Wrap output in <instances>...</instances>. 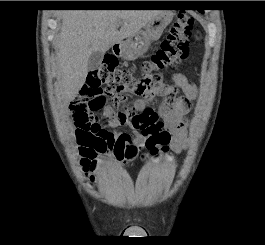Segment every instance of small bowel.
Segmentation results:
<instances>
[{
    "mask_svg": "<svg viewBox=\"0 0 265 245\" xmlns=\"http://www.w3.org/2000/svg\"><path fill=\"white\" fill-rule=\"evenodd\" d=\"M159 83L162 86L161 95L163 97V102L158 111L151 110L165 123V125L171 131L172 138L169 144L170 149L172 152L179 154L190 144L187 137L185 121L186 115L190 108L189 100L195 97L196 87L182 74L173 75L172 86L164 85L160 81ZM178 89L182 91V97L174 96L176 90ZM74 105L77 107V109L86 108L88 112L92 111V105H96L98 106V109H102L104 115L107 117V120L100 125V129L108 132H111L110 129L121 124L120 118L124 113L131 114L134 110L142 112L149 109L145 101L137 100L130 110L115 113L110 107L104 105L102 97L96 94H91V89L88 86L81 90ZM113 135L115 139L123 140L127 147L132 148L135 151L137 150L135 140L131 134L119 132L113 133ZM76 149L77 155L80 159V167L84 175L94 186L97 177L104 173V158L106 157L109 150L86 148L78 143ZM113 159L121 165L130 161L132 156H118L114 154Z\"/></svg>",
    "mask_w": 265,
    "mask_h": 245,
    "instance_id": "obj_1",
    "label": "small bowel"
}]
</instances>
